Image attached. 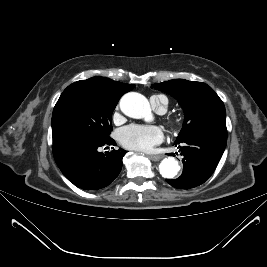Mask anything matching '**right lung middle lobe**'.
<instances>
[{
    "mask_svg": "<svg viewBox=\"0 0 267 267\" xmlns=\"http://www.w3.org/2000/svg\"><path fill=\"white\" fill-rule=\"evenodd\" d=\"M119 98L105 87L87 80L69 85L53 110V144L69 139H110L111 117Z\"/></svg>",
    "mask_w": 267,
    "mask_h": 267,
    "instance_id": "obj_1",
    "label": "right lung middle lobe"
}]
</instances>
